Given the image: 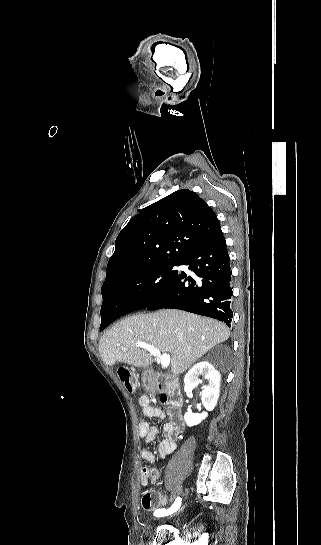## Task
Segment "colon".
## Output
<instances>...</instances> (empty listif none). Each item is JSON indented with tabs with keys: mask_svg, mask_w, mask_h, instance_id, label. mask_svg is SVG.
<instances>
[{
	"mask_svg": "<svg viewBox=\"0 0 321 545\" xmlns=\"http://www.w3.org/2000/svg\"><path fill=\"white\" fill-rule=\"evenodd\" d=\"M118 376L126 389L134 394L137 390V383L134 375L127 368H120ZM141 504L146 510H159L168 504L167 499L158 492L144 491L141 495Z\"/></svg>",
	"mask_w": 321,
	"mask_h": 545,
	"instance_id": "colon-1",
	"label": "colon"
}]
</instances>
